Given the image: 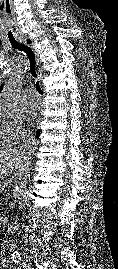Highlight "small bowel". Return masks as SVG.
<instances>
[{"label":"small bowel","instance_id":"c3829d8e","mask_svg":"<svg viewBox=\"0 0 118 269\" xmlns=\"http://www.w3.org/2000/svg\"><path fill=\"white\" fill-rule=\"evenodd\" d=\"M1 264H2V266H3V267H5V266H6V264H7L6 259H2V260H1Z\"/></svg>","mask_w":118,"mask_h":269}]
</instances>
